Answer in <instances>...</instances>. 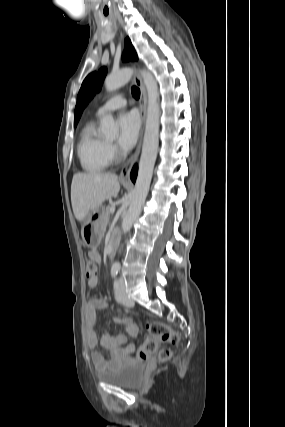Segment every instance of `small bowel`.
I'll list each match as a JSON object with an SVG mask.
<instances>
[{"instance_id": "1", "label": "small bowel", "mask_w": 285, "mask_h": 427, "mask_svg": "<svg viewBox=\"0 0 285 427\" xmlns=\"http://www.w3.org/2000/svg\"><path fill=\"white\" fill-rule=\"evenodd\" d=\"M89 257L96 262L101 261L98 252L91 251ZM97 278L88 280L90 289L96 288ZM113 306L109 301L98 298L89 300L85 310V338L87 346L92 349L91 360L96 370L103 371L108 368L121 367L129 363L130 357L135 352V345L129 344L125 348L121 346L126 342L127 336L135 337L138 334V327L130 318H115V322L124 326V333L113 334L103 328L100 339L95 330L97 312L101 309ZM109 353V359H105L101 352L96 351L98 343Z\"/></svg>"}]
</instances>
